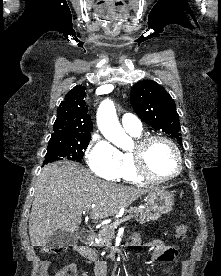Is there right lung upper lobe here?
Listing matches in <instances>:
<instances>
[{"label":"right lung upper lobe","instance_id":"cb5924a9","mask_svg":"<svg viewBox=\"0 0 221 276\" xmlns=\"http://www.w3.org/2000/svg\"><path fill=\"white\" fill-rule=\"evenodd\" d=\"M85 87L75 86L69 91L57 109V119L51 139L90 136L93 128L88 108L84 101Z\"/></svg>","mask_w":221,"mask_h":276}]
</instances>
